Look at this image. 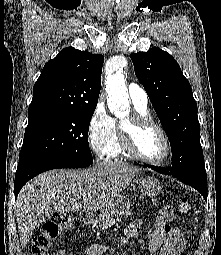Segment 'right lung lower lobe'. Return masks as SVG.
<instances>
[{
    "label": "right lung lower lobe",
    "instance_id": "1",
    "mask_svg": "<svg viewBox=\"0 0 221 255\" xmlns=\"http://www.w3.org/2000/svg\"><path fill=\"white\" fill-rule=\"evenodd\" d=\"M90 165V163L66 160L61 158L25 155L19 158V163L15 175V198L27 181L42 172L57 168H84Z\"/></svg>",
    "mask_w": 221,
    "mask_h": 255
}]
</instances>
